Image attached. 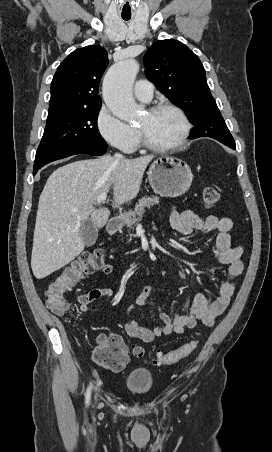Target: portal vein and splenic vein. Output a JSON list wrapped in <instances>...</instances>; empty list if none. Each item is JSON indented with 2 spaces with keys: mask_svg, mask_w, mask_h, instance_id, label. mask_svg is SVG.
I'll return each mask as SVG.
<instances>
[{
  "mask_svg": "<svg viewBox=\"0 0 272 452\" xmlns=\"http://www.w3.org/2000/svg\"><path fill=\"white\" fill-rule=\"evenodd\" d=\"M107 198V193H102L101 195L98 196L97 198V204H102L105 202Z\"/></svg>",
  "mask_w": 272,
  "mask_h": 452,
  "instance_id": "portal-vein-and-splenic-vein-1",
  "label": "portal vein and splenic vein"
}]
</instances>
